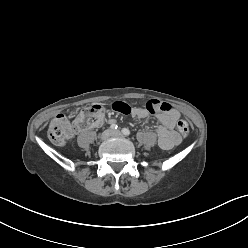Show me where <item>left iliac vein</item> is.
Masks as SVG:
<instances>
[{"label":"left iliac vein","mask_w":248,"mask_h":248,"mask_svg":"<svg viewBox=\"0 0 248 248\" xmlns=\"http://www.w3.org/2000/svg\"><path fill=\"white\" fill-rule=\"evenodd\" d=\"M112 136L120 137L122 136V133L119 130L112 131Z\"/></svg>","instance_id":"left-iliac-vein-1"}]
</instances>
